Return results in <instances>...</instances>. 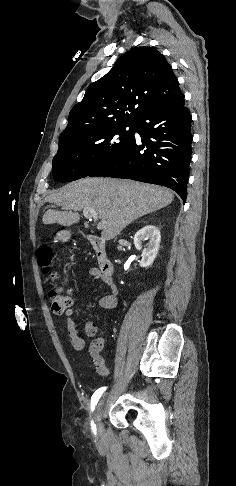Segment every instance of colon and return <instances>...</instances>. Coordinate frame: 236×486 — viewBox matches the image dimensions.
Returning a JSON list of instances; mask_svg holds the SVG:
<instances>
[{
  "mask_svg": "<svg viewBox=\"0 0 236 486\" xmlns=\"http://www.w3.org/2000/svg\"><path fill=\"white\" fill-rule=\"evenodd\" d=\"M51 260L52 256L50 250L47 247L40 248L38 251L39 263L47 268L50 265ZM55 277L56 275L54 273L50 274L51 280H54ZM49 299L53 312L61 314L66 311L72 303L71 291L61 286L53 287L49 291Z\"/></svg>",
  "mask_w": 236,
  "mask_h": 486,
  "instance_id": "1",
  "label": "colon"
}]
</instances>
